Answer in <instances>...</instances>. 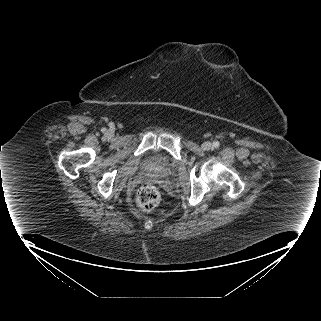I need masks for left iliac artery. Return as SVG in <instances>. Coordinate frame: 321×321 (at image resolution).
Segmentation results:
<instances>
[{
	"label": "left iliac artery",
	"mask_w": 321,
	"mask_h": 321,
	"mask_svg": "<svg viewBox=\"0 0 321 321\" xmlns=\"http://www.w3.org/2000/svg\"><path fill=\"white\" fill-rule=\"evenodd\" d=\"M212 145H213L214 148H218L219 147V142L218 141H214Z\"/></svg>",
	"instance_id": "obj_1"
}]
</instances>
